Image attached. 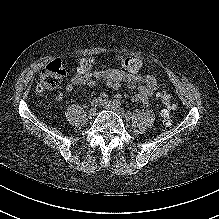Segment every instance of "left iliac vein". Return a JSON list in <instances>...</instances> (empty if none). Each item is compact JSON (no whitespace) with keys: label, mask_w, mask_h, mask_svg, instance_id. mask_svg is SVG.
I'll return each instance as SVG.
<instances>
[{"label":"left iliac vein","mask_w":219,"mask_h":219,"mask_svg":"<svg viewBox=\"0 0 219 219\" xmlns=\"http://www.w3.org/2000/svg\"><path fill=\"white\" fill-rule=\"evenodd\" d=\"M102 106H103V108H105L107 110H111V111H114L118 114H121L120 107H117L116 105L111 103V101H109V100H104L102 103Z\"/></svg>","instance_id":"4c4485c4"}]
</instances>
